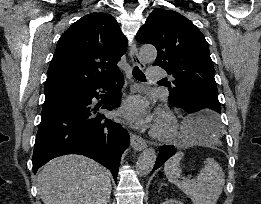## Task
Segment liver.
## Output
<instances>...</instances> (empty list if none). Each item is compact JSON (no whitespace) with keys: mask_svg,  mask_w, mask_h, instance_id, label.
<instances>
[{"mask_svg":"<svg viewBox=\"0 0 261 204\" xmlns=\"http://www.w3.org/2000/svg\"><path fill=\"white\" fill-rule=\"evenodd\" d=\"M37 182L44 204H107L111 194L109 171L81 155L52 159L39 172Z\"/></svg>","mask_w":261,"mask_h":204,"instance_id":"6515ba94","label":"liver"}]
</instances>
